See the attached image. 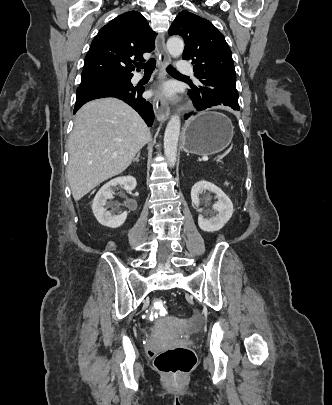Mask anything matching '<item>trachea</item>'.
Instances as JSON below:
<instances>
[{
	"mask_svg": "<svg viewBox=\"0 0 332 405\" xmlns=\"http://www.w3.org/2000/svg\"><path fill=\"white\" fill-rule=\"evenodd\" d=\"M136 66L139 67V68H141V69H144V72H145L146 74H151V73L154 71V69H155L156 61H155V59L152 58V59L148 60L146 63H137ZM166 70H167V72L170 73V74L181 75V74H180L174 67H172L171 65H169Z\"/></svg>",
	"mask_w": 332,
	"mask_h": 405,
	"instance_id": "1",
	"label": "trachea"
}]
</instances>
